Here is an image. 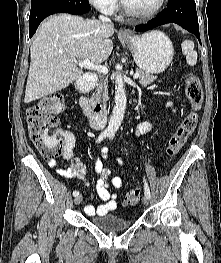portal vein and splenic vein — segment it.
Listing matches in <instances>:
<instances>
[{
    "label": "portal vein and splenic vein",
    "instance_id": "portal-vein-and-splenic-vein-1",
    "mask_svg": "<svg viewBox=\"0 0 221 263\" xmlns=\"http://www.w3.org/2000/svg\"><path fill=\"white\" fill-rule=\"evenodd\" d=\"M70 62H74L76 63L79 67H84L90 70H94L97 71L99 73H103V74H107L108 73V68L106 66H102L99 64H95L91 61H89L88 59H83L82 61H70ZM140 76L139 73H135L133 75L134 79H137Z\"/></svg>",
    "mask_w": 221,
    "mask_h": 263
}]
</instances>
